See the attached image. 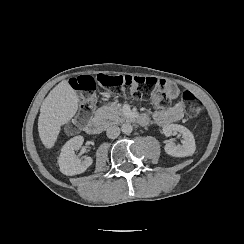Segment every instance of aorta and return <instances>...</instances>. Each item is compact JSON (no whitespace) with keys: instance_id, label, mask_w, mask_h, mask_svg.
Instances as JSON below:
<instances>
[{"instance_id":"aorta-1","label":"aorta","mask_w":244,"mask_h":244,"mask_svg":"<svg viewBox=\"0 0 244 244\" xmlns=\"http://www.w3.org/2000/svg\"><path fill=\"white\" fill-rule=\"evenodd\" d=\"M121 131L124 133V134H130L132 131H133V127L131 124L129 123H124L122 126H121Z\"/></svg>"}]
</instances>
